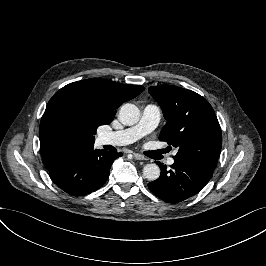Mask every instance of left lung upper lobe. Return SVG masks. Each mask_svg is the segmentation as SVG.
<instances>
[{
  "mask_svg": "<svg viewBox=\"0 0 266 266\" xmlns=\"http://www.w3.org/2000/svg\"><path fill=\"white\" fill-rule=\"evenodd\" d=\"M160 105L167 123L160 141L177 147L174 159L187 160L215 169L222 147L221 128L208 101L180 87H149Z\"/></svg>",
  "mask_w": 266,
  "mask_h": 266,
  "instance_id": "obj_1",
  "label": "left lung upper lobe"
}]
</instances>
